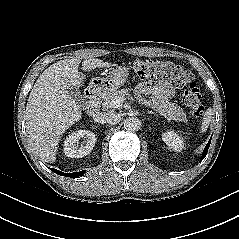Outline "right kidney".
Instances as JSON below:
<instances>
[{"instance_id":"ca27d5eb","label":"right kidney","mask_w":239,"mask_h":239,"mask_svg":"<svg viewBox=\"0 0 239 239\" xmlns=\"http://www.w3.org/2000/svg\"><path fill=\"white\" fill-rule=\"evenodd\" d=\"M84 138L85 146L78 148V141ZM97 141L96 135L88 130L72 132L64 141V154L71 158H82L88 155Z\"/></svg>"}]
</instances>
